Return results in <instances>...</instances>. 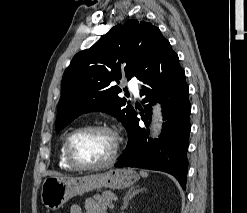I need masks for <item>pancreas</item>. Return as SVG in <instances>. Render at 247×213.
<instances>
[{"label": "pancreas", "instance_id": "1", "mask_svg": "<svg viewBox=\"0 0 247 213\" xmlns=\"http://www.w3.org/2000/svg\"><path fill=\"white\" fill-rule=\"evenodd\" d=\"M113 198H114V193L111 191H105L102 194H96L94 196L97 205L104 210H106L109 207Z\"/></svg>", "mask_w": 247, "mask_h": 213}]
</instances>
